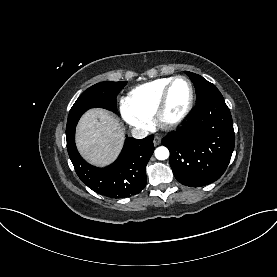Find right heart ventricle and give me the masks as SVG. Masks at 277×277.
Returning a JSON list of instances; mask_svg holds the SVG:
<instances>
[{"instance_id": "right-heart-ventricle-1", "label": "right heart ventricle", "mask_w": 277, "mask_h": 277, "mask_svg": "<svg viewBox=\"0 0 277 277\" xmlns=\"http://www.w3.org/2000/svg\"><path fill=\"white\" fill-rule=\"evenodd\" d=\"M172 78H160L135 87L129 92L126 103L135 111L152 117L163 90Z\"/></svg>"}]
</instances>
